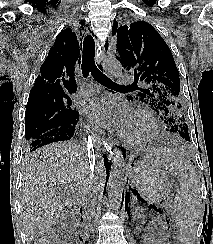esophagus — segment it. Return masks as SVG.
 Listing matches in <instances>:
<instances>
[{"instance_id": "1", "label": "esophagus", "mask_w": 213, "mask_h": 244, "mask_svg": "<svg viewBox=\"0 0 213 244\" xmlns=\"http://www.w3.org/2000/svg\"><path fill=\"white\" fill-rule=\"evenodd\" d=\"M105 55H106V51L105 49H103L96 57V63L98 67L101 68L102 70L104 69L103 63L105 60ZM103 144L108 150L111 157H113L114 153L119 149V145L117 141H115L113 138H108L107 140H104Z\"/></svg>"}]
</instances>
